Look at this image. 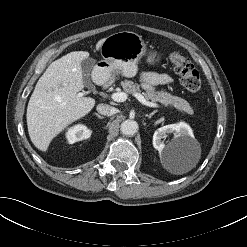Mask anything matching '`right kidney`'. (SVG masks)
<instances>
[{
  "mask_svg": "<svg viewBox=\"0 0 247 247\" xmlns=\"http://www.w3.org/2000/svg\"><path fill=\"white\" fill-rule=\"evenodd\" d=\"M92 131L83 124H77L68 129L66 132V139L68 143L73 144L78 141L88 139Z\"/></svg>",
  "mask_w": 247,
  "mask_h": 247,
  "instance_id": "1",
  "label": "right kidney"
}]
</instances>
